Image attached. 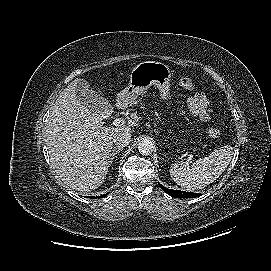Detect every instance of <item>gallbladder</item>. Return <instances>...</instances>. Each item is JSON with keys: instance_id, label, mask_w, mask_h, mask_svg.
<instances>
[{"instance_id": "obj_1", "label": "gallbladder", "mask_w": 271, "mask_h": 271, "mask_svg": "<svg viewBox=\"0 0 271 271\" xmlns=\"http://www.w3.org/2000/svg\"><path fill=\"white\" fill-rule=\"evenodd\" d=\"M76 97L82 105L105 117L112 112V106L109 101L100 93L91 89L87 81L83 79L79 80L76 85Z\"/></svg>"}]
</instances>
